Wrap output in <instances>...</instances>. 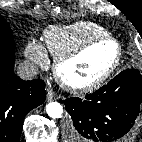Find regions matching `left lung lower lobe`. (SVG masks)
I'll use <instances>...</instances> for the list:
<instances>
[{
	"instance_id": "0a47b994",
	"label": "left lung lower lobe",
	"mask_w": 142,
	"mask_h": 142,
	"mask_svg": "<svg viewBox=\"0 0 142 142\" xmlns=\"http://www.w3.org/2000/svg\"><path fill=\"white\" fill-rule=\"evenodd\" d=\"M142 101V75L126 69L85 100L77 97L64 104L71 116L68 142H121L133 127Z\"/></svg>"
}]
</instances>
